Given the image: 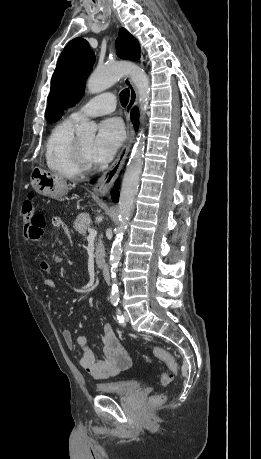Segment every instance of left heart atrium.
<instances>
[{
    "label": "left heart atrium",
    "instance_id": "left-heart-atrium-1",
    "mask_svg": "<svg viewBox=\"0 0 261 459\" xmlns=\"http://www.w3.org/2000/svg\"><path fill=\"white\" fill-rule=\"evenodd\" d=\"M125 139V130L121 120L109 118L99 125L94 139L91 160L97 163L109 162Z\"/></svg>",
    "mask_w": 261,
    "mask_h": 459
}]
</instances>
